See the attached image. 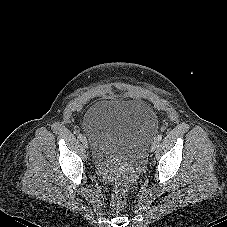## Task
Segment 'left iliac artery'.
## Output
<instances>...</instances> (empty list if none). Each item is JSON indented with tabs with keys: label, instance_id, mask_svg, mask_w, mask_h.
Returning a JSON list of instances; mask_svg holds the SVG:
<instances>
[{
	"label": "left iliac artery",
	"instance_id": "1",
	"mask_svg": "<svg viewBox=\"0 0 227 227\" xmlns=\"http://www.w3.org/2000/svg\"><path fill=\"white\" fill-rule=\"evenodd\" d=\"M156 140L161 141L162 140V135L161 134L158 135L157 138H156Z\"/></svg>",
	"mask_w": 227,
	"mask_h": 227
}]
</instances>
